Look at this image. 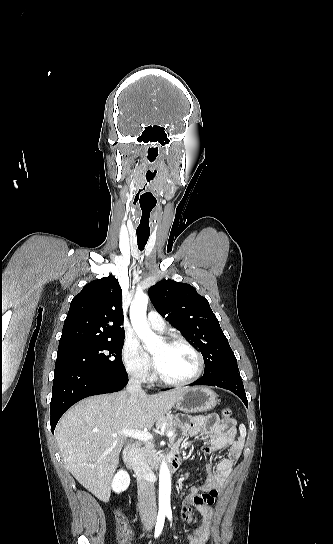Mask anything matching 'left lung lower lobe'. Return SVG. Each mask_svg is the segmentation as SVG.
Masks as SVG:
<instances>
[{
  "label": "left lung lower lobe",
  "instance_id": "obj_1",
  "mask_svg": "<svg viewBox=\"0 0 333 544\" xmlns=\"http://www.w3.org/2000/svg\"><path fill=\"white\" fill-rule=\"evenodd\" d=\"M194 385L217 386L230 390L244 402L246 407H248V401L244 391L243 382L238 373V370L223 369L212 372L209 375L203 376L199 380L191 384V386Z\"/></svg>",
  "mask_w": 333,
  "mask_h": 544
}]
</instances>
